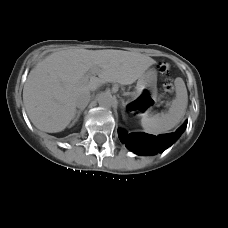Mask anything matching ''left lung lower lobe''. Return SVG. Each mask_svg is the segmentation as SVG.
<instances>
[{"mask_svg":"<svg viewBox=\"0 0 228 228\" xmlns=\"http://www.w3.org/2000/svg\"><path fill=\"white\" fill-rule=\"evenodd\" d=\"M187 123L188 121H185L174 133L159 135L158 137L145 135L144 133L127 134L121 129L118 130V134L120 140L132 152L140 155L156 154L163 152L171 146L183 133L187 127Z\"/></svg>","mask_w":228,"mask_h":228,"instance_id":"1","label":"left lung lower lobe"}]
</instances>
